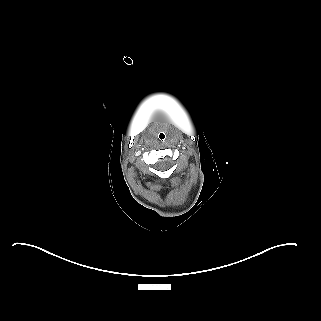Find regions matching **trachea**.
Masks as SVG:
<instances>
[{
    "instance_id": "1",
    "label": "trachea",
    "mask_w": 321,
    "mask_h": 321,
    "mask_svg": "<svg viewBox=\"0 0 321 321\" xmlns=\"http://www.w3.org/2000/svg\"><path fill=\"white\" fill-rule=\"evenodd\" d=\"M158 137L160 138V139H163L164 137H165V133L162 131V132H160L159 134H158Z\"/></svg>"
}]
</instances>
